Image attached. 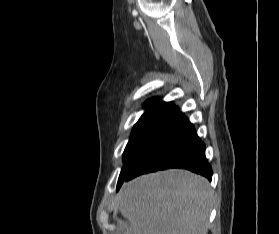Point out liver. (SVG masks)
I'll use <instances>...</instances> for the list:
<instances>
[{"instance_id":"1","label":"liver","mask_w":279,"mask_h":234,"mask_svg":"<svg viewBox=\"0 0 279 234\" xmlns=\"http://www.w3.org/2000/svg\"><path fill=\"white\" fill-rule=\"evenodd\" d=\"M211 203L209 182L187 170L137 177L121 191L123 234H207Z\"/></svg>"}]
</instances>
